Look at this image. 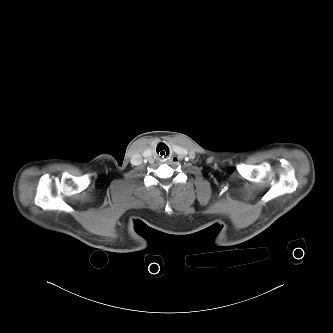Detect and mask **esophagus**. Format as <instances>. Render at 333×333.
I'll list each match as a JSON object with an SVG mask.
<instances>
[{
    "label": "esophagus",
    "instance_id": "1",
    "mask_svg": "<svg viewBox=\"0 0 333 333\" xmlns=\"http://www.w3.org/2000/svg\"><path fill=\"white\" fill-rule=\"evenodd\" d=\"M171 160H172L173 162H178V161H179V158L176 157V156H173Z\"/></svg>",
    "mask_w": 333,
    "mask_h": 333
}]
</instances>
